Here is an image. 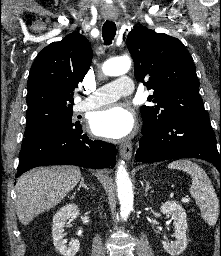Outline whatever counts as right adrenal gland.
Segmentation results:
<instances>
[{"label": "right adrenal gland", "instance_id": "1", "mask_svg": "<svg viewBox=\"0 0 221 256\" xmlns=\"http://www.w3.org/2000/svg\"><path fill=\"white\" fill-rule=\"evenodd\" d=\"M81 187H84L85 189L89 190V187L85 184L83 177L81 178L80 185H79L78 189H80Z\"/></svg>", "mask_w": 221, "mask_h": 256}]
</instances>
